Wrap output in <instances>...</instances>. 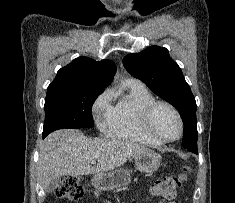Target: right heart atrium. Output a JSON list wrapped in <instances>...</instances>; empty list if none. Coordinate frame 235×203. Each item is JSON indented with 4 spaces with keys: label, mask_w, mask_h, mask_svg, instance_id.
I'll list each match as a JSON object with an SVG mask.
<instances>
[{
    "label": "right heart atrium",
    "mask_w": 235,
    "mask_h": 203,
    "mask_svg": "<svg viewBox=\"0 0 235 203\" xmlns=\"http://www.w3.org/2000/svg\"><path fill=\"white\" fill-rule=\"evenodd\" d=\"M111 93L109 90L103 91L92 105L93 116L100 128H104L107 117L111 110Z\"/></svg>",
    "instance_id": "1"
}]
</instances>
